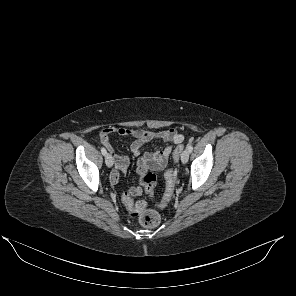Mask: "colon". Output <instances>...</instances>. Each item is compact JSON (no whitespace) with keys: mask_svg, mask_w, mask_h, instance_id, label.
<instances>
[{"mask_svg":"<svg viewBox=\"0 0 296 296\" xmlns=\"http://www.w3.org/2000/svg\"><path fill=\"white\" fill-rule=\"evenodd\" d=\"M184 150V146L179 144L176 146L173 152L174 161H177L180 154ZM166 189L164 197L159 203V207L164 208L170 202L174 184H175V172L172 169H168L165 172ZM140 185L144 192L149 196H152L156 187V175L152 171H147L140 179ZM125 205L128 207L130 214L137 217L141 226L146 228H154L160 224L161 217L158 212L147 209V202L145 200L133 203L132 199L125 195L123 197Z\"/></svg>","mask_w":296,"mask_h":296,"instance_id":"5ec220e1","label":"colon"}]
</instances>
